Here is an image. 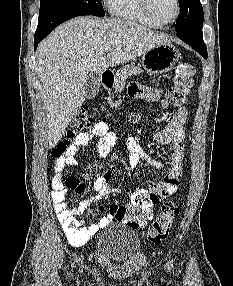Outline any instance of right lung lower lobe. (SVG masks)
Here are the masks:
<instances>
[{
	"mask_svg": "<svg viewBox=\"0 0 233 286\" xmlns=\"http://www.w3.org/2000/svg\"><path fill=\"white\" fill-rule=\"evenodd\" d=\"M88 15L85 12L69 8L61 7L46 17L39 19L37 30L34 36V49L37 48L38 43L46 37L53 29H55L59 24L73 18L76 16Z\"/></svg>",
	"mask_w": 233,
	"mask_h": 286,
	"instance_id": "1",
	"label": "right lung lower lobe"
}]
</instances>
